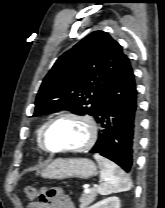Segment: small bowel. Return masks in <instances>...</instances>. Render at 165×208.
<instances>
[{
	"instance_id": "small-bowel-1",
	"label": "small bowel",
	"mask_w": 165,
	"mask_h": 208,
	"mask_svg": "<svg viewBox=\"0 0 165 208\" xmlns=\"http://www.w3.org/2000/svg\"><path fill=\"white\" fill-rule=\"evenodd\" d=\"M27 208H76L71 198L59 187L42 188L39 200L28 204Z\"/></svg>"
}]
</instances>
